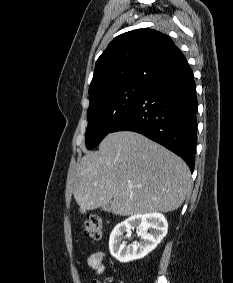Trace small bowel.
Instances as JSON below:
<instances>
[{
	"label": "small bowel",
	"mask_w": 233,
	"mask_h": 283,
	"mask_svg": "<svg viewBox=\"0 0 233 283\" xmlns=\"http://www.w3.org/2000/svg\"><path fill=\"white\" fill-rule=\"evenodd\" d=\"M104 252H96L89 256L88 258V266L91 270H93L96 274H100L104 270L103 261L105 259Z\"/></svg>",
	"instance_id": "c3829d8e"
}]
</instances>
